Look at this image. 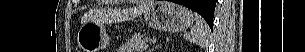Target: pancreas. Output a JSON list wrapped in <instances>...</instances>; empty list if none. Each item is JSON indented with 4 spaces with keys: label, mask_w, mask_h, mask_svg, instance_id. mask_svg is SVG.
I'll list each match as a JSON object with an SVG mask.
<instances>
[{
    "label": "pancreas",
    "mask_w": 305,
    "mask_h": 52,
    "mask_svg": "<svg viewBox=\"0 0 305 52\" xmlns=\"http://www.w3.org/2000/svg\"><path fill=\"white\" fill-rule=\"evenodd\" d=\"M150 38L141 35H133L122 45L124 52H143L148 47Z\"/></svg>",
    "instance_id": "pancreas-1"
}]
</instances>
